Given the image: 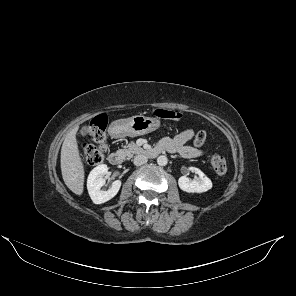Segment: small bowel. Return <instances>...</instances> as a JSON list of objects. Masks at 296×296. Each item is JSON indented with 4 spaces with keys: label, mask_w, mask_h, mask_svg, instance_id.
<instances>
[{
    "label": "small bowel",
    "mask_w": 296,
    "mask_h": 296,
    "mask_svg": "<svg viewBox=\"0 0 296 296\" xmlns=\"http://www.w3.org/2000/svg\"><path fill=\"white\" fill-rule=\"evenodd\" d=\"M195 131L193 129H186L175 135L174 137L163 138L159 145L167 152L179 154L184 158H197L205 154L199 148L187 145V143L194 137Z\"/></svg>",
    "instance_id": "c3829d8e"
}]
</instances>
